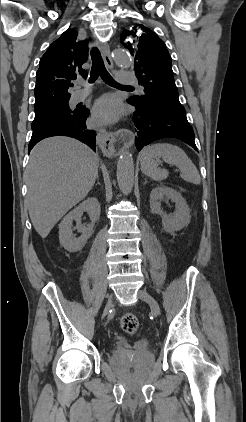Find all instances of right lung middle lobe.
I'll return each instance as SVG.
<instances>
[{
    "mask_svg": "<svg viewBox=\"0 0 246 422\" xmlns=\"http://www.w3.org/2000/svg\"><path fill=\"white\" fill-rule=\"evenodd\" d=\"M68 101L69 100L61 101L40 109H35V118L31 127H35L48 121L68 119L75 116L78 110H71L69 108Z\"/></svg>",
    "mask_w": 246,
    "mask_h": 422,
    "instance_id": "obj_1",
    "label": "right lung middle lobe"
}]
</instances>
